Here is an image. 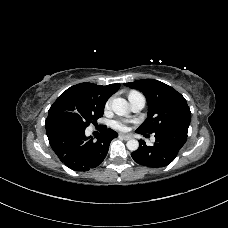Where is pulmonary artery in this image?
I'll use <instances>...</instances> for the list:
<instances>
[{
  "instance_id": "obj_1",
  "label": "pulmonary artery",
  "mask_w": 228,
  "mask_h": 228,
  "mask_svg": "<svg viewBox=\"0 0 228 228\" xmlns=\"http://www.w3.org/2000/svg\"><path fill=\"white\" fill-rule=\"evenodd\" d=\"M128 100L131 106V109L134 112H139L141 111L146 104V99L144 95L140 92L132 91L128 95Z\"/></svg>"
}]
</instances>
